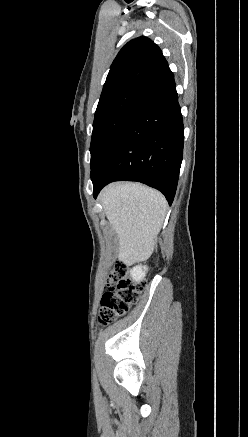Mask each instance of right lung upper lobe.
<instances>
[{"mask_svg": "<svg viewBox=\"0 0 248 437\" xmlns=\"http://www.w3.org/2000/svg\"><path fill=\"white\" fill-rule=\"evenodd\" d=\"M168 63L160 48L147 37L129 41L114 59L98 106L131 91L141 92Z\"/></svg>", "mask_w": 248, "mask_h": 437, "instance_id": "cb5924a9", "label": "right lung upper lobe"}]
</instances>
